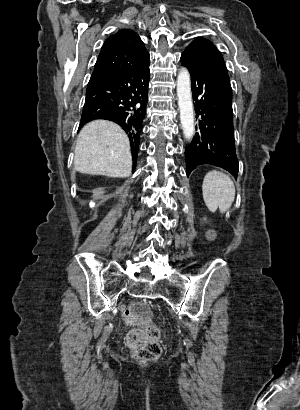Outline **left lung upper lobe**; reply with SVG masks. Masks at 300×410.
<instances>
[{"mask_svg": "<svg viewBox=\"0 0 300 410\" xmlns=\"http://www.w3.org/2000/svg\"><path fill=\"white\" fill-rule=\"evenodd\" d=\"M183 53L199 66L220 72L229 78L223 56L211 41L198 37Z\"/></svg>", "mask_w": 300, "mask_h": 410, "instance_id": "1", "label": "left lung upper lobe"}]
</instances>
